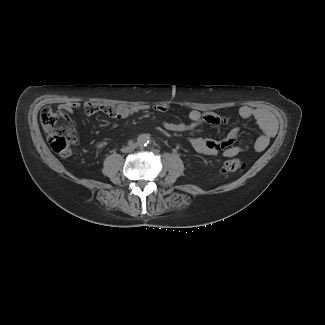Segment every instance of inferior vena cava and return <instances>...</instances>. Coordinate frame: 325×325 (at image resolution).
I'll list each match as a JSON object with an SVG mask.
<instances>
[{"label": "inferior vena cava", "instance_id": "inferior-vena-cava-1", "mask_svg": "<svg viewBox=\"0 0 325 325\" xmlns=\"http://www.w3.org/2000/svg\"><path fill=\"white\" fill-rule=\"evenodd\" d=\"M134 149H135V145L133 144V145H130V146L124 147V148L122 149V152H125V153H127V152H132Z\"/></svg>", "mask_w": 325, "mask_h": 325}]
</instances>
